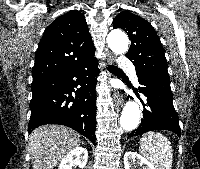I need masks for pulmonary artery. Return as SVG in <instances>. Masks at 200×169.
Listing matches in <instances>:
<instances>
[{"instance_id": "e3ab8cb5", "label": "pulmonary artery", "mask_w": 200, "mask_h": 169, "mask_svg": "<svg viewBox=\"0 0 200 169\" xmlns=\"http://www.w3.org/2000/svg\"><path fill=\"white\" fill-rule=\"evenodd\" d=\"M118 63L121 65V66H127L129 64V60L124 58V57H121L118 61ZM129 73L131 75V77L136 80L137 79V76H136V73H135V70L133 68H129Z\"/></svg>"}]
</instances>
